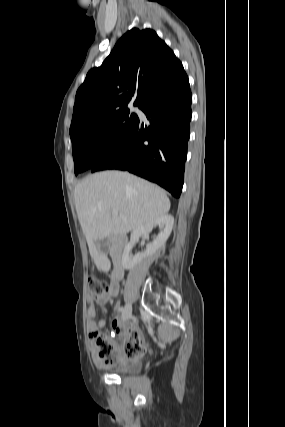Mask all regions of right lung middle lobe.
Returning <instances> with one entry per match:
<instances>
[{"label": "right lung middle lobe", "mask_w": 285, "mask_h": 427, "mask_svg": "<svg viewBox=\"0 0 285 427\" xmlns=\"http://www.w3.org/2000/svg\"><path fill=\"white\" fill-rule=\"evenodd\" d=\"M137 120L138 116L124 107L71 132L75 174L103 162L123 143Z\"/></svg>", "instance_id": "1"}]
</instances>
